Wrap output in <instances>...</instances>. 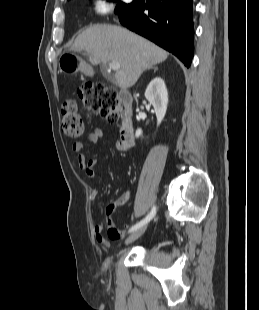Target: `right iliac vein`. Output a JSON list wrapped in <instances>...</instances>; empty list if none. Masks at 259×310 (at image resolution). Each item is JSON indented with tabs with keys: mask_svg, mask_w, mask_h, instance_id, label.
I'll return each mask as SVG.
<instances>
[{
	"mask_svg": "<svg viewBox=\"0 0 259 310\" xmlns=\"http://www.w3.org/2000/svg\"><path fill=\"white\" fill-rule=\"evenodd\" d=\"M146 229H147V225L142 226V227L138 228L137 230H135L126 239V241H125L126 245L133 243L135 240H137L139 237H141L143 235V233L146 231Z\"/></svg>",
	"mask_w": 259,
	"mask_h": 310,
	"instance_id": "1",
	"label": "right iliac vein"
}]
</instances>
